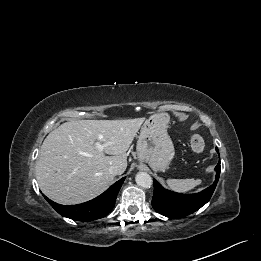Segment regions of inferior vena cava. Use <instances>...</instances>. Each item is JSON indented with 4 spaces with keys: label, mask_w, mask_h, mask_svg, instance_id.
I'll return each instance as SVG.
<instances>
[{
    "label": "inferior vena cava",
    "mask_w": 261,
    "mask_h": 261,
    "mask_svg": "<svg viewBox=\"0 0 261 261\" xmlns=\"http://www.w3.org/2000/svg\"><path fill=\"white\" fill-rule=\"evenodd\" d=\"M120 173H121V171H120V168L118 166H111L109 168V174H111V175L115 176V175H118Z\"/></svg>",
    "instance_id": "obj_1"
}]
</instances>
